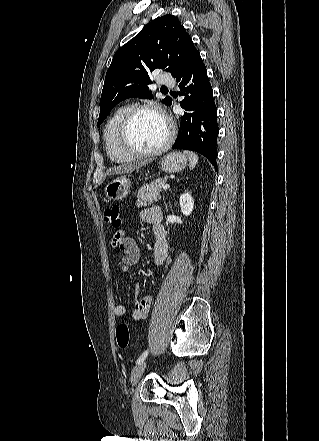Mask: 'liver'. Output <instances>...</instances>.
<instances>
[{
    "label": "liver",
    "instance_id": "1",
    "mask_svg": "<svg viewBox=\"0 0 319 441\" xmlns=\"http://www.w3.org/2000/svg\"><path fill=\"white\" fill-rule=\"evenodd\" d=\"M148 161H139V162H133V163H122L121 165L115 166L112 169L109 170L110 174H126L131 173L135 171L136 169H139L140 167H143L146 165Z\"/></svg>",
    "mask_w": 319,
    "mask_h": 441
}]
</instances>
